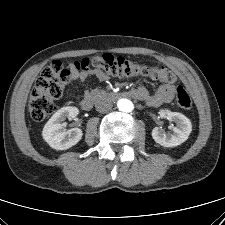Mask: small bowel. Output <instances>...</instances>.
<instances>
[{
	"label": "small bowel",
	"mask_w": 225,
	"mask_h": 225,
	"mask_svg": "<svg viewBox=\"0 0 225 225\" xmlns=\"http://www.w3.org/2000/svg\"><path fill=\"white\" fill-rule=\"evenodd\" d=\"M70 75L72 81H85L92 77L99 81H106L108 79L105 72L91 68H72ZM134 92L135 98L145 101L150 106H159L168 103L173 99L175 86L172 84H162L154 94H150L145 88L136 89Z\"/></svg>",
	"instance_id": "obj_1"
}]
</instances>
